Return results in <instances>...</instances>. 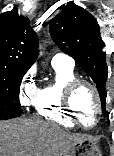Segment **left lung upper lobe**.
Returning <instances> with one entry per match:
<instances>
[{
    "mask_svg": "<svg viewBox=\"0 0 114 156\" xmlns=\"http://www.w3.org/2000/svg\"><path fill=\"white\" fill-rule=\"evenodd\" d=\"M53 41L82 66L95 81L105 111L108 69L106 54L102 51L103 41L96 19L82 7L69 2L63 11L50 22Z\"/></svg>",
    "mask_w": 114,
    "mask_h": 156,
    "instance_id": "left-lung-upper-lobe-1",
    "label": "left lung upper lobe"
}]
</instances>
